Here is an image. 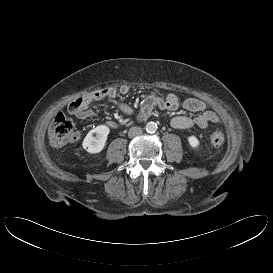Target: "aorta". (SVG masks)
<instances>
[{
    "mask_svg": "<svg viewBox=\"0 0 273 273\" xmlns=\"http://www.w3.org/2000/svg\"><path fill=\"white\" fill-rule=\"evenodd\" d=\"M157 130V124L155 122H148L146 124V131L148 133H154Z\"/></svg>",
    "mask_w": 273,
    "mask_h": 273,
    "instance_id": "aorta-1",
    "label": "aorta"
}]
</instances>
